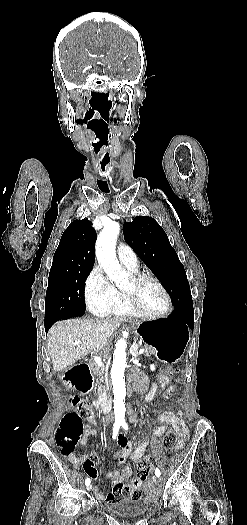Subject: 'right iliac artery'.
<instances>
[{"mask_svg":"<svg viewBox=\"0 0 247 525\" xmlns=\"http://www.w3.org/2000/svg\"><path fill=\"white\" fill-rule=\"evenodd\" d=\"M120 426H121V425H120V424H118V423H117V424H114V427H113V436H112V438H113V439H115V438H116V436H117V434H118V431H119V428H120ZM90 482H91V481H90V479H89V478H87V479L85 480V484H86L87 486H88V485L90 484Z\"/></svg>","mask_w":247,"mask_h":525,"instance_id":"82829eb1","label":"right iliac artery"}]
</instances>
